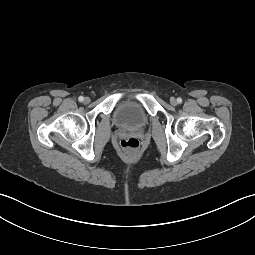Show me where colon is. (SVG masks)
Wrapping results in <instances>:
<instances>
[{
    "label": "colon",
    "instance_id": "obj_1",
    "mask_svg": "<svg viewBox=\"0 0 255 255\" xmlns=\"http://www.w3.org/2000/svg\"><path fill=\"white\" fill-rule=\"evenodd\" d=\"M120 146L127 154H135L140 148V142L136 137H125L121 140Z\"/></svg>",
    "mask_w": 255,
    "mask_h": 255
}]
</instances>
